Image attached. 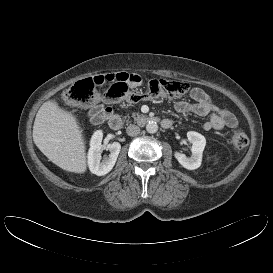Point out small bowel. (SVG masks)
<instances>
[{
	"mask_svg": "<svg viewBox=\"0 0 273 273\" xmlns=\"http://www.w3.org/2000/svg\"><path fill=\"white\" fill-rule=\"evenodd\" d=\"M191 101H178L174 108L177 112L182 114H193L197 116H207L209 119L203 123V129L222 130L225 127H237V119L229 110L222 108L216 104L211 97L200 88H193L189 92ZM111 110L101 105L92 107L88 116L92 123L98 124L102 122Z\"/></svg>",
	"mask_w": 273,
	"mask_h": 273,
	"instance_id": "1",
	"label": "small bowel"
}]
</instances>
